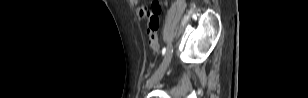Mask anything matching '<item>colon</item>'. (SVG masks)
<instances>
[{"instance_id": "1", "label": "colon", "mask_w": 308, "mask_h": 98, "mask_svg": "<svg viewBox=\"0 0 308 98\" xmlns=\"http://www.w3.org/2000/svg\"><path fill=\"white\" fill-rule=\"evenodd\" d=\"M161 10L162 6L159 1H153L150 5L144 6L139 10V15L145 16L149 20L147 33L149 37V44L154 51L159 50L157 31L160 29V26L158 25V19Z\"/></svg>"}]
</instances>
